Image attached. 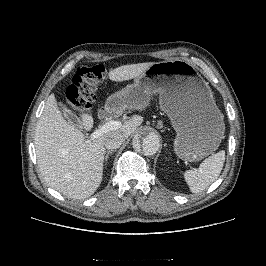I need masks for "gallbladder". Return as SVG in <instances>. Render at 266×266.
Returning a JSON list of instances; mask_svg holds the SVG:
<instances>
[{
    "label": "gallbladder",
    "instance_id": "bac80fb5",
    "mask_svg": "<svg viewBox=\"0 0 266 266\" xmlns=\"http://www.w3.org/2000/svg\"><path fill=\"white\" fill-rule=\"evenodd\" d=\"M60 106L63 110L64 116L68 119L69 122L71 123L79 122L77 116H75L69 109H67L65 105L60 104Z\"/></svg>",
    "mask_w": 266,
    "mask_h": 266
}]
</instances>
